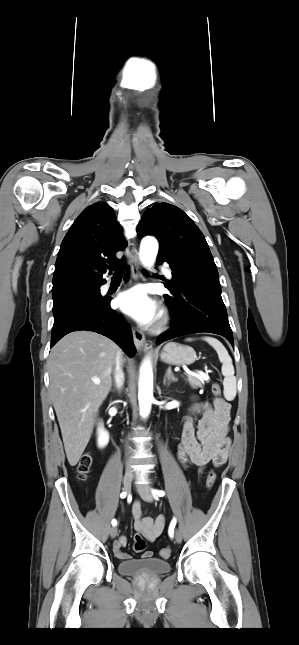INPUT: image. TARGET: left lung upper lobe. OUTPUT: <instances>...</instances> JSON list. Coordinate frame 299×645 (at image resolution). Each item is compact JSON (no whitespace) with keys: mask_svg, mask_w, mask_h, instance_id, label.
<instances>
[{"mask_svg":"<svg viewBox=\"0 0 299 645\" xmlns=\"http://www.w3.org/2000/svg\"><path fill=\"white\" fill-rule=\"evenodd\" d=\"M137 235L155 236L159 244L158 261L172 269L189 268L197 272L218 273L208 244L197 225L178 207L162 202L147 209ZM168 284L174 283L168 281Z\"/></svg>","mask_w":299,"mask_h":645,"instance_id":"1","label":"left lung upper lobe"}]
</instances>
